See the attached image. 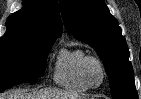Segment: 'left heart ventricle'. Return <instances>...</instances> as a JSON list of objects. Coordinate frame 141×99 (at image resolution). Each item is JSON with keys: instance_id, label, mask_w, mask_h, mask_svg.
<instances>
[{"instance_id": "b2bd125f", "label": "left heart ventricle", "mask_w": 141, "mask_h": 99, "mask_svg": "<svg viewBox=\"0 0 141 99\" xmlns=\"http://www.w3.org/2000/svg\"><path fill=\"white\" fill-rule=\"evenodd\" d=\"M87 76L91 83L98 84L102 78L100 67L94 62L90 63L87 67Z\"/></svg>"}]
</instances>
